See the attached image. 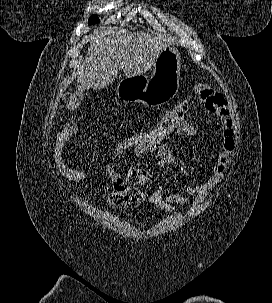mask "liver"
<instances>
[{
    "instance_id": "1",
    "label": "liver",
    "mask_w": 272,
    "mask_h": 303,
    "mask_svg": "<svg viewBox=\"0 0 272 303\" xmlns=\"http://www.w3.org/2000/svg\"><path fill=\"white\" fill-rule=\"evenodd\" d=\"M89 39L90 45L77 76V89L67 102L68 110L81 104L86 89L108 86L120 70L126 78L142 75L170 45L165 37L116 27L100 28Z\"/></svg>"
}]
</instances>
